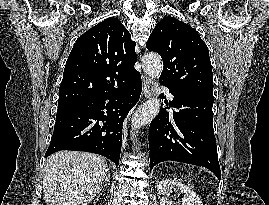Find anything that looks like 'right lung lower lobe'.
<instances>
[{"mask_svg": "<svg viewBox=\"0 0 269 205\" xmlns=\"http://www.w3.org/2000/svg\"><path fill=\"white\" fill-rule=\"evenodd\" d=\"M140 73L134 71L105 94L58 104L51 143L45 153L76 150L103 155L119 164L122 125L141 94Z\"/></svg>", "mask_w": 269, "mask_h": 205, "instance_id": "1", "label": "right lung lower lobe"}]
</instances>
